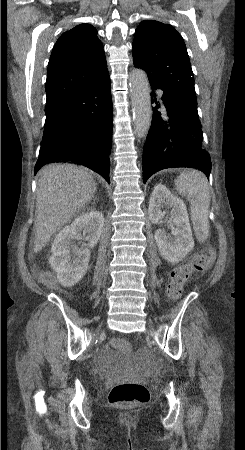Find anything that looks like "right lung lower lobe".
Returning <instances> with one entry per match:
<instances>
[{
	"mask_svg": "<svg viewBox=\"0 0 245 450\" xmlns=\"http://www.w3.org/2000/svg\"><path fill=\"white\" fill-rule=\"evenodd\" d=\"M45 111L34 173L47 163L68 162L86 166L109 182L113 105L108 71Z\"/></svg>",
	"mask_w": 245,
	"mask_h": 450,
	"instance_id": "right-lung-lower-lobe-1",
	"label": "right lung lower lobe"
}]
</instances>
